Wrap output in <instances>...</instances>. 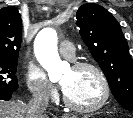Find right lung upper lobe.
Returning a JSON list of instances; mask_svg holds the SVG:
<instances>
[{
  "label": "right lung upper lobe",
  "mask_w": 133,
  "mask_h": 118,
  "mask_svg": "<svg viewBox=\"0 0 133 118\" xmlns=\"http://www.w3.org/2000/svg\"><path fill=\"white\" fill-rule=\"evenodd\" d=\"M22 39V20L16 8L0 9V58L18 60Z\"/></svg>",
  "instance_id": "right-lung-upper-lobe-1"
}]
</instances>
